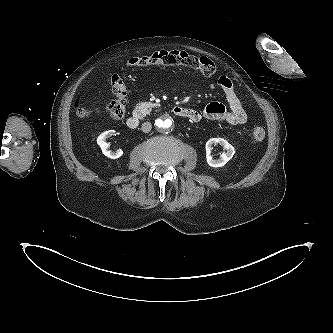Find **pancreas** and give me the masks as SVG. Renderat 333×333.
I'll return each mask as SVG.
<instances>
[{"label":"pancreas","instance_id":"cf45deb5","mask_svg":"<svg viewBox=\"0 0 333 333\" xmlns=\"http://www.w3.org/2000/svg\"><path fill=\"white\" fill-rule=\"evenodd\" d=\"M157 105H158L157 103H151V102L138 103L135 106V111H137L141 117H145L146 114H149L152 108L156 107Z\"/></svg>","mask_w":333,"mask_h":333}]
</instances>
